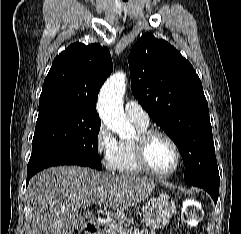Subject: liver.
<instances>
[{"mask_svg": "<svg viewBox=\"0 0 241 234\" xmlns=\"http://www.w3.org/2000/svg\"><path fill=\"white\" fill-rule=\"evenodd\" d=\"M156 184L147 178L110 175L78 166L52 167L34 175L26 198L32 211L30 234H72L78 211L99 200L117 216L148 198Z\"/></svg>", "mask_w": 241, "mask_h": 234, "instance_id": "liver-1", "label": "liver"}]
</instances>
